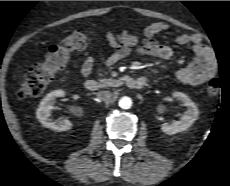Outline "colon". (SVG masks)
Masks as SVG:
<instances>
[{"label":"colon","mask_w":230,"mask_h":186,"mask_svg":"<svg viewBox=\"0 0 230 186\" xmlns=\"http://www.w3.org/2000/svg\"><path fill=\"white\" fill-rule=\"evenodd\" d=\"M90 39V33L87 30H79L52 45L45 61L33 66L22 79L17 91L18 97L40 96L53 81L55 75L67 66L70 55L74 51L86 48ZM219 91L220 83L214 79L206 86L205 95L212 99L219 94Z\"/></svg>","instance_id":"obj_1"}]
</instances>
